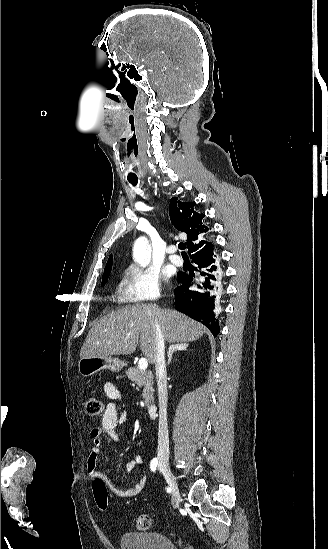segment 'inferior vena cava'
I'll return each instance as SVG.
<instances>
[{
	"instance_id": "602c4592",
	"label": "inferior vena cava",
	"mask_w": 328,
	"mask_h": 549,
	"mask_svg": "<svg viewBox=\"0 0 328 549\" xmlns=\"http://www.w3.org/2000/svg\"><path fill=\"white\" fill-rule=\"evenodd\" d=\"M155 367L159 397V433H158V457H164L169 451L168 425H167V373L165 365V345L163 335L158 323H155Z\"/></svg>"
}]
</instances>
